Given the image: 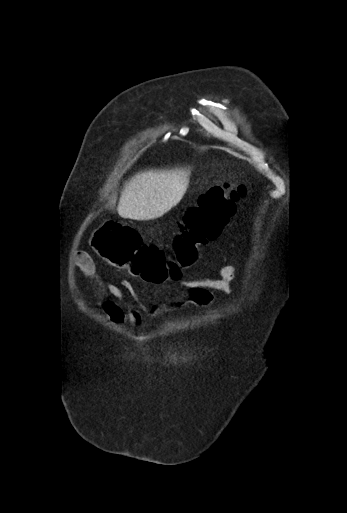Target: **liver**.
Listing matches in <instances>:
<instances>
[{"label":"liver","instance_id":"6515ba94","mask_svg":"<svg viewBox=\"0 0 347 513\" xmlns=\"http://www.w3.org/2000/svg\"><path fill=\"white\" fill-rule=\"evenodd\" d=\"M189 175L190 171L183 170H150L137 174L123 188L118 214L122 218H144L165 213L182 198ZM115 201L116 197L111 203Z\"/></svg>","mask_w":347,"mask_h":513}]
</instances>
